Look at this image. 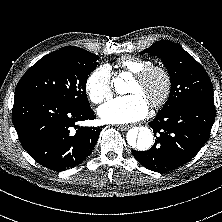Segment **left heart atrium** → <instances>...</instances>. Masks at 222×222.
I'll return each mask as SVG.
<instances>
[{
    "label": "left heart atrium",
    "mask_w": 222,
    "mask_h": 222,
    "mask_svg": "<svg viewBox=\"0 0 222 222\" xmlns=\"http://www.w3.org/2000/svg\"><path fill=\"white\" fill-rule=\"evenodd\" d=\"M149 110V104L139 94L117 97L98 109L102 121L113 124H124L143 119Z\"/></svg>",
    "instance_id": "obj_1"
}]
</instances>
